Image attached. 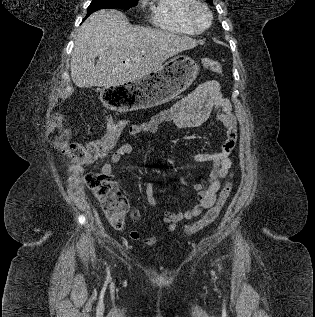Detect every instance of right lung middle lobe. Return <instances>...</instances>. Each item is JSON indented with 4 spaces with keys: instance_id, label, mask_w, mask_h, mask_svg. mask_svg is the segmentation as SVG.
I'll return each instance as SVG.
<instances>
[{
    "instance_id": "dd1d6c3e",
    "label": "right lung middle lobe",
    "mask_w": 315,
    "mask_h": 317,
    "mask_svg": "<svg viewBox=\"0 0 315 317\" xmlns=\"http://www.w3.org/2000/svg\"><path fill=\"white\" fill-rule=\"evenodd\" d=\"M138 0H93L87 8V16L91 13L104 8L129 9L136 6Z\"/></svg>"
}]
</instances>
